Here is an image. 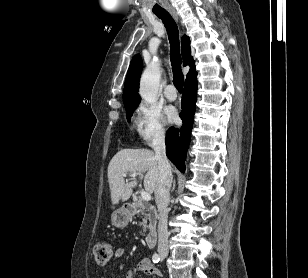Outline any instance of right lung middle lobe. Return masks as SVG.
I'll return each instance as SVG.
<instances>
[{
    "instance_id": "1",
    "label": "right lung middle lobe",
    "mask_w": 308,
    "mask_h": 278,
    "mask_svg": "<svg viewBox=\"0 0 308 278\" xmlns=\"http://www.w3.org/2000/svg\"><path fill=\"white\" fill-rule=\"evenodd\" d=\"M136 107H137V105H135V106L132 105V106L125 107V109H126V116H127L128 122H130L131 116H132V114L134 112V109Z\"/></svg>"
}]
</instances>
